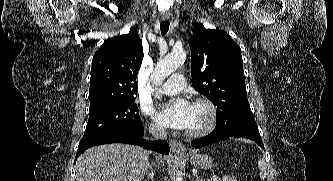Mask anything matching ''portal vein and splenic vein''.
Masks as SVG:
<instances>
[{
  "instance_id": "portal-vein-and-splenic-vein-1",
  "label": "portal vein and splenic vein",
  "mask_w": 333,
  "mask_h": 181,
  "mask_svg": "<svg viewBox=\"0 0 333 181\" xmlns=\"http://www.w3.org/2000/svg\"><path fill=\"white\" fill-rule=\"evenodd\" d=\"M209 181H220V178L217 176H213L209 179Z\"/></svg>"
}]
</instances>
